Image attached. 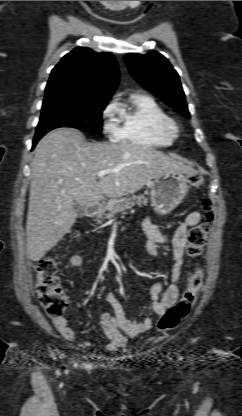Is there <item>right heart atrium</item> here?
<instances>
[{
	"label": "right heart atrium",
	"mask_w": 242,
	"mask_h": 416,
	"mask_svg": "<svg viewBox=\"0 0 242 416\" xmlns=\"http://www.w3.org/2000/svg\"><path fill=\"white\" fill-rule=\"evenodd\" d=\"M116 114L117 106L115 101H110L101 113L104 132L111 137H115L118 132Z\"/></svg>",
	"instance_id": "1"
}]
</instances>
